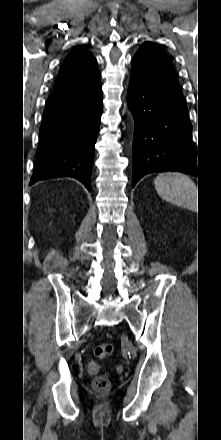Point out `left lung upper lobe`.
<instances>
[{"instance_id": "obj_1", "label": "left lung upper lobe", "mask_w": 221, "mask_h": 440, "mask_svg": "<svg viewBox=\"0 0 221 440\" xmlns=\"http://www.w3.org/2000/svg\"><path fill=\"white\" fill-rule=\"evenodd\" d=\"M139 50L146 52L151 58H153L157 63L164 66L165 68L173 71L171 64L164 53V51L154 43L145 42Z\"/></svg>"}]
</instances>
